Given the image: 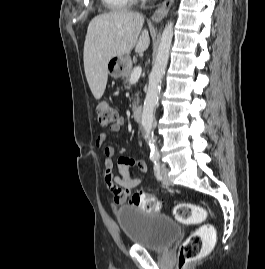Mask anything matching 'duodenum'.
<instances>
[{
    "mask_svg": "<svg viewBox=\"0 0 265 269\" xmlns=\"http://www.w3.org/2000/svg\"><path fill=\"white\" fill-rule=\"evenodd\" d=\"M143 117V108L142 107H136L133 111V119L136 122H140L142 120Z\"/></svg>",
    "mask_w": 265,
    "mask_h": 269,
    "instance_id": "duodenum-1",
    "label": "duodenum"
}]
</instances>
